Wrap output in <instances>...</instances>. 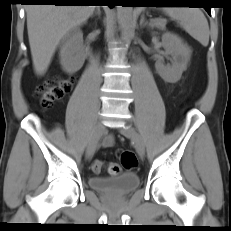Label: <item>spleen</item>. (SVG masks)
<instances>
[{"label":"spleen","mask_w":231,"mask_h":231,"mask_svg":"<svg viewBox=\"0 0 231 231\" xmlns=\"http://www.w3.org/2000/svg\"><path fill=\"white\" fill-rule=\"evenodd\" d=\"M162 11L179 21L180 26L203 46L209 43V25L206 17L198 8L165 7Z\"/></svg>","instance_id":"1"}]
</instances>
